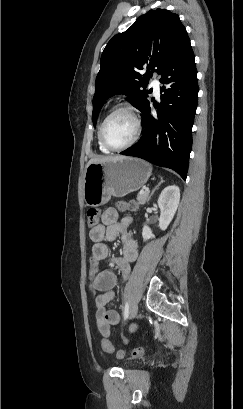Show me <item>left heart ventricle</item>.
I'll use <instances>...</instances> for the list:
<instances>
[{"instance_id": "obj_1", "label": "left heart ventricle", "mask_w": 243, "mask_h": 409, "mask_svg": "<svg viewBox=\"0 0 243 409\" xmlns=\"http://www.w3.org/2000/svg\"><path fill=\"white\" fill-rule=\"evenodd\" d=\"M104 132L111 145L122 146L134 136V120L126 112L118 113L108 120Z\"/></svg>"}]
</instances>
